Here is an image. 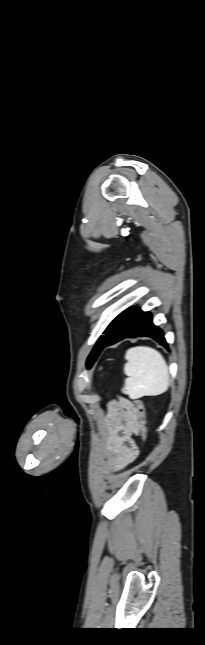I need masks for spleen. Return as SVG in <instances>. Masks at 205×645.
Masks as SVG:
<instances>
[{
  "label": "spleen",
  "instance_id": "spleen-1",
  "mask_svg": "<svg viewBox=\"0 0 205 645\" xmlns=\"http://www.w3.org/2000/svg\"><path fill=\"white\" fill-rule=\"evenodd\" d=\"M124 373L127 375L123 392L131 399L157 396L169 387V371L166 361L157 350L138 346L126 351Z\"/></svg>",
  "mask_w": 205,
  "mask_h": 645
}]
</instances>
